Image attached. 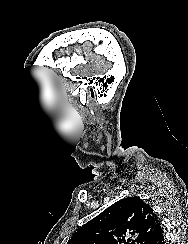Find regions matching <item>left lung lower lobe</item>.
<instances>
[{"label":"left lung lower lobe","mask_w":188,"mask_h":244,"mask_svg":"<svg viewBox=\"0 0 188 244\" xmlns=\"http://www.w3.org/2000/svg\"><path fill=\"white\" fill-rule=\"evenodd\" d=\"M147 244H165L163 230L159 221L156 223Z\"/></svg>","instance_id":"obj_1"}]
</instances>
